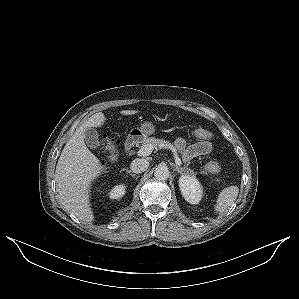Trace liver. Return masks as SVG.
Wrapping results in <instances>:
<instances>
[{
    "label": "liver",
    "instance_id": "liver-1",
    "mask_svg": "<svg viewBox=\"0 0 299 299\" xmlns=\"http://www.w3.org/2000/svg\"><path fill=\"white\" fill-rule=\"evenodd\" d=\"M120 113L128 116L138 111L123 110ZM104 122L102 112L95 113L84 121L64 146L55 171L62 208L86 223H91L94 219L89 202L90 185L103 172V166L87 148L84 132L88 127H100Z\"/></svg>",
    "mask_w": 299,
    "mask_h": 299
}]
</instances>
